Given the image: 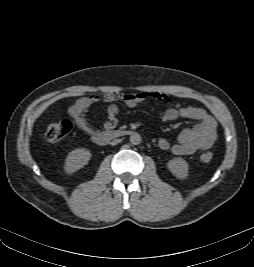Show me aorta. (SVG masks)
<instances>
[{"label":"aorta","mask_w":254,"mask_h":267,"mask_svg":"<svg viewBox=\"0 0 254 267\" xmlns=\"http://www.w3.org/2000/svg\"><path fill=\"white\" fill-rule=\"evenodd\" d=\"M141 136H140V134H138V133H133V134H131V136H130V142H131V144H133V145H138V144H140L141 143Z\"/></svg>","instance_id":"1"}]
</instances>
